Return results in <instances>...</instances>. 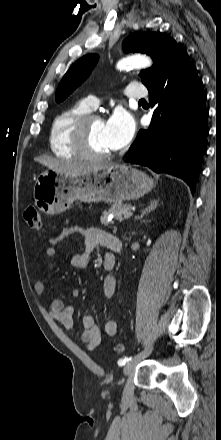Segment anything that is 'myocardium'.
<instances>
[{
	"label": "myocardium",
	"mask_w": 221,
	"mask_h": 440,
	"mask_svg": "<svg viewBox=\"0 0 221 440\" xmlns=\"http://www.w3.org/2000/svg\"><path fill=\"white\" fill-rule=\"evenodd\" d=\"M95 120H102V118L96 113H87L78 118L71 129V141L80 157L89 160H105L111 157V151L97 153L93 151L89 145L88 129L90 124Z\"/></svg>",
	"instance_id": "f54148a6"
}]
</instances>
